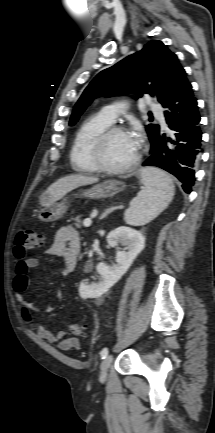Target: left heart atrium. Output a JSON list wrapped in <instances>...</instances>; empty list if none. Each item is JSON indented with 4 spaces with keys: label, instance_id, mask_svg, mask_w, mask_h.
Wrapping results in <instances>:
<instances>
[{
    "label": "left heart atrium",
    "instance_id": "39dd6f15",
    "mask_svg": "<svg viewBox=\"0 0 215 433\" xmlns=\"http://www.w3.org/2000/svg\"><path fill=\"white\" fill-rule=\"evenodd\" d=\"M133 139L139 145V141H140L139 137L136 135V136H133Z\"/></svg>",
    "mask_w": 215,
    "mask_h": 433
}]
</instances>
